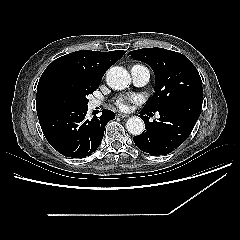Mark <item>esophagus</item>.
I'll return each mask as SVG.
<instances>
[{"label": "esophagus", "instance_id": "1", "mask_svg": "<svg viewBox=\"0 0 240 240\" xmlns=\"http://www.w3.org/2000/svg\"><path fill=\"white\" fill-rule=\"evenodd\" d=\"M118 117H120V118H127V117H129V115H127V114H118Z\"/></svg>", "mask_w": 240, "mask_h": 240}]
</instances>
